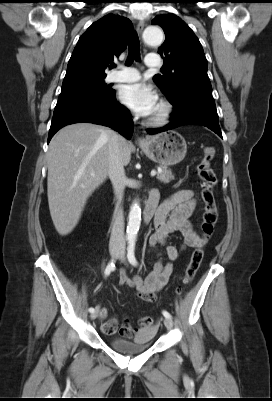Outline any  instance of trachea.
<instances>
[{"label": "trachea", "mask_w": 272, "mask_h": 401, "mask_svg": "<svg viewBox=\"0 0 272 401\" xmlns=\"http://www.w3.org/2000/svg\"><path fill=\"white\" fill-rule=\"evenodd\" d=\"M134 60H140V41L136 32H132L129 37V53L126 65H131ZM111 67L113 68L115 65L113 64Z\"/></svg>", "instance_id": "trachea-1"}]
</instances>
